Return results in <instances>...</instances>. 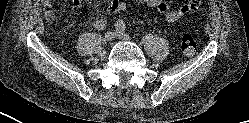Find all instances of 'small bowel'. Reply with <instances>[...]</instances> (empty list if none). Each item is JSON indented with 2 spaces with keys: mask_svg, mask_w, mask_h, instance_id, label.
Segmentation results:
<instances>
[{
  "mask_svg": "<svg viewBox=\"0 0 249 123\" xmlns=\"http://www.w3.org/2000/svg\"><path fill=\"white\" fill-rule=\"evenodd\" d=\"M138 4H145L150 8L158 10L166 21L179 22L188 13L195 11L201 0H189L182 4L178 8H171L165 0H133ZM53 0L44 1V16L47 20L53 21L55 19V13L52 5ZM81 4V0H72V7L77 8ZM128 2L126 0H111L108 7L105 9L104 14L110 15L118 11H122L127 8Z\"/></svg>",
  "mask_w": 249,
  "mask_h": 123,
  "instance_id": "c3829d8e",
  "label": "small bowel"
}]
</instances>
